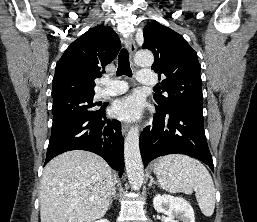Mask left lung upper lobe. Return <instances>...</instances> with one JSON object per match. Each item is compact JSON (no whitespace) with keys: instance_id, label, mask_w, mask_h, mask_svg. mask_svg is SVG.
Listing matches in <instances>:
<instances>
[{"instance_id":"obj_1","label":"left lung upper lobe","mask_w":257,"mask_h":222,"mask_svg":"<svg viewBox=\"0 0 257 222\" xmlns=\"http://www.w3.org/2000/svg\"><path fill=\"white\" fill-rule=\"evenodd\" d=\"M143 35L142 48L154 53L152 69L166 77L160 88L168 96L155 94V107L164 112L177 108L202 112L201 67L196 52L180 34L157 21L148 23Z\"/></svg>"}]
</instances>
